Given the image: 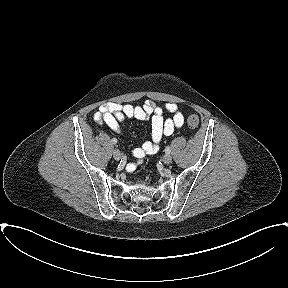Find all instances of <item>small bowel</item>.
<instances>
[{
  "label": "small bowel",
  "mask_w": 288,
  "mask_h": 288,
  "mask_svg": "<svg viewBox=\"0 0 288 288\" xmlns=\"http://www.w3.org/2000/svg\"><path fill=\"white\" fill-rule=\"evenodd\" d=\"M164 110L173 114V116L164 118ZM127 118L151 120V140L144 142L132 151L133 156L138 160L158 152L162 138L171 135L175 129L182 127L184 124L183 115L178 111L177 105L171 102L166 103L164 108L149 100L139 106L109 102L102 104L94 114L95 122L100 125L106 124L114 131H119L120 125Z\"/></svg>",
  "instance_id": "1"
}]
</instances>
